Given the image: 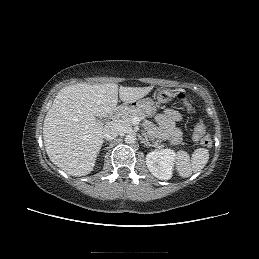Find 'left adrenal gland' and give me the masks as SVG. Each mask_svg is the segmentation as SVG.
I'll return each mask as SVG.
<instances>
[{"label": "left adrenal gland", "instance_id": "left-adrenal-gland-1", "mask_svg": "<svg viewBox=\"0 0 259 259\" xmlns=\"http://www.w3.org/2000/svg\"><path fill=\"white\" fill-rule=\"evenodd\" d=\"M141 143H143L145 146H147V147H151L152 145L147 141V140H145V139H142L141 140Z\"/></svg>", "mask_w": 259, "mask_h": 259}]
</instances>
